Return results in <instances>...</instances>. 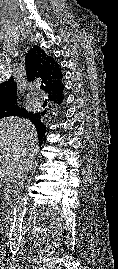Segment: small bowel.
Masks as SVG:
<instances>
[{"label":"small bowel","mask_w":118,"mask_h":269,"mask_svg":"<svg viewBox=\"0 0 118 269\" xmlns=\"http://www.w3.org/2000/svg\"><path fill=\"white\" fill-rule=\"evenodd\" d=\"M1 262H2V257H0V263H1ZM0 269H7V268L0 265Z\"/></svg>","instance_id":"1"}]
</instances>
